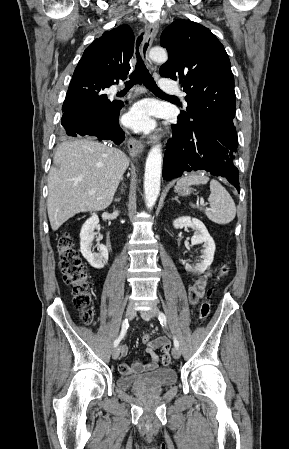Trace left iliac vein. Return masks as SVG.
<instances>
[{
    "instance_id": "4c4485c4",
    "label": "left iliac vein",
    "mask_w": 289,
    "mask_h": 449,
    "mask_svg": "<svg viewBox=\"0 0 289 449\" xmlns=\"http://www.w3.org/2000/svg\"><path fill=\"white\" fill-rule=\"evenodd\" d=\"M158 313H159L158 308L153 306L151 309L141 312V316H142V318L144 320L149 321L151 318L157 317ZM172 356L175 359H179L180 356H181L180 350L178 348H176V347H173V349H172Z\"/></svg>"
}]
</instances>
